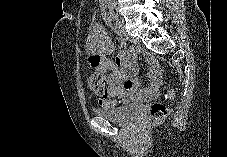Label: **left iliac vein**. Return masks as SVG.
Instances as JSON below:
<instances>
[{
    "label": "left iliac vein",
    "mask_w": 227,
    "mask_h": 157,
    "mask_svg": "<svg viewBox=\"0 0 227 157\" xmlns=\"http://www.w3.org/2000/svg\"><path fill=\"white\" fill-rule=\"evenodd\" d=\"M121 26H120V31L134 44H139L140 40L136 37H130L129 34L126 32L125 28H124V23L120 22Z\"/></svg>",
    "instance_id": "1"
}]
</instances>
